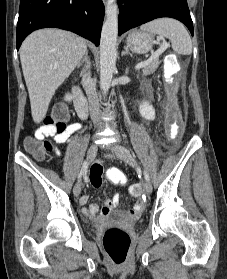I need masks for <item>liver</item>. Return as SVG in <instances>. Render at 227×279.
Listing matches in <instances>:
<instances>
[{"label": "liver", "instance_id": "liver-1", "mask_svg": "<svg viewBox=\"0 0 227 279\" xmlns=\"http://www.w3.org/2000/svg\"><path fill=\"white\" fill-rule=\"evenodd\" d=\"M87 50L86 40L61 29L30 34L20 48V60L35 123L46 116L58 87L72 73Z\"/></svg>", "mask_w": 227, "mask_h": 279}]
</instances>
